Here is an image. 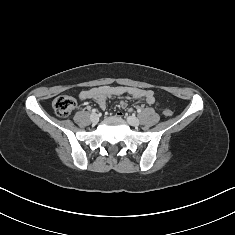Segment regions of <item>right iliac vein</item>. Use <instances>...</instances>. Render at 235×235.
I'll return each mask as SVG.
<instances>
[{"label": "right iliac vein", "mask_w": 235, "mask_h": 235, "mask_svg": "<svg viewBox=\"0 0 235 235\" xmlns=\"http://www.w3.org/2000/svg\"><path fill=\"white\" fill-rule=\"evenodd\" d=\"M90 120H91L92 123L96 124V123L99 121V116H98V114L93 113V114L90 116Z\"/></svg>", "instance_id": "63e3f726"}]
</instances>
